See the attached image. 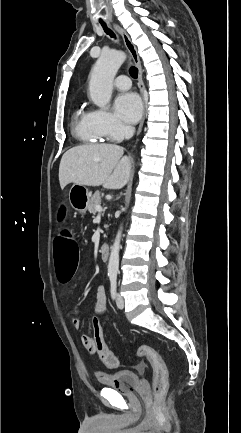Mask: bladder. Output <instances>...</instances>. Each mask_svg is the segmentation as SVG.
<instances>
[{
  "instance_id": "bladder-1",
  "label": "bladder",
  "mask_w": 241,
  "mask_h": 433,
  "mask_svg": "<svg viewBox=\"0 0 241 433\" xmlns=\"http://www.w3.org/2000/svg\"><path fill=\"white\" fill-rule=\"evenodd\" d=\"M96 379L101 386L123 393L135 391L140 384L139 376L134 371L98 373Z\"/></svg>"
}]
</instances>
